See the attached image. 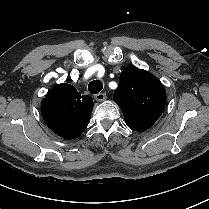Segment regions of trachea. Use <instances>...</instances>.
Segmentation results:
<instances>
[{"label": "trachea", "mask_w": 209, "mask_h": 209, "mask_svg": "<svg viewBox=\"0 0 209 209\" xmlns=\"http://www.w3.org/2000/svg\"><path fill=\"white\" fill-rule=\"evenodd\" d=\"M103 88V83L101 80H93L88 85V90L91 94L99 93Z\"/></svg>", "instance_id": "1"}]
</instances>
